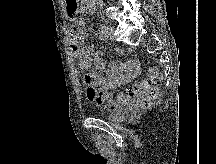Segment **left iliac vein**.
Returning a JSON list of instances; mask_svg holds the SVG:
<instances>
[{
    "instance_id": "4c4485c4",
    "label": "left iliac vein",
    "mask_w": 216,
    "mask_h": 164,
    "mask_svg": "<svg viewBox=\"0 0 216 164\" xmlns=\"http://www.w3.org/2000/svg\"><path fill=\"white\" fill-rule=\"evenodd\" d=\"M107 36L111 39L114 40V27L113 26H108V33Z\"/></svg>"
}]
</instances>
